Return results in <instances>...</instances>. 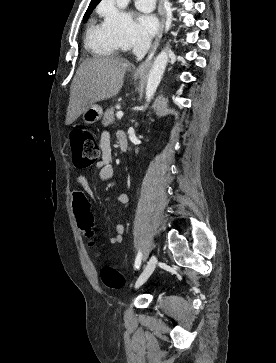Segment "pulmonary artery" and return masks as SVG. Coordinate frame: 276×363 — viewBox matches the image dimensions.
<instances>
[{"label": "pulmonary artery", "mask_w": 276, "mask_h": 363, "mask_svg": "<svg viewBox=\"0 0 276 363\" xmlns=\"http://www.w3.org/2000/svg\"><path fill=\"white\" fill-rule=\"evenodd\" d=\"M156 0H135L136 7L143 12H150L154 9Z\"/></svg>", "instance_id": "1"}]
</instances>
